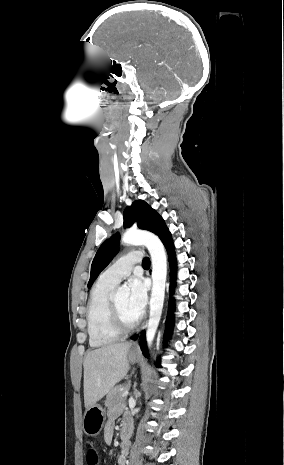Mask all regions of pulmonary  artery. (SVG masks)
<instances>
[{
	"instance_id": "obj_1",
	"label": "pulmonary artery",
	"mask_w": 284,
	"mask_h": 465,
	"mask_svg": "<svg viewBox=\"0 0 284 465\" xmlns=\"http://www.w3.org/2000/svg\"><path fill=\"white\" fill-rule=\"evenodd\" d=\"M143 262V252L134 250L128 254L120 255V262L107 268L101 275L100 279L104 282L116 285L132 271L135 263Z\"/></svg>"
}]
</instances>
